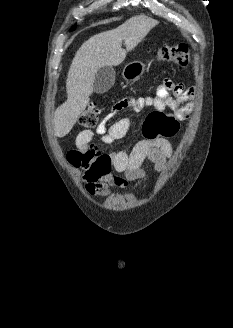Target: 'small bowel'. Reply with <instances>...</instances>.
<instances>
[{
	"label": "small bowel",
	"instance_id": "1",
	"mask_svg": "<svg viewBox=\"0 0 233 328\" xmlns=\"http://www.w3.org/2000/svg\"><path fill=\"white\" fill-rule=\"evenodd\" d=\"M194 95V88H186L181 83H174L171 79H166L157 88L155 96H127L115 103L111 113L98 126L96 134L107 144L123 138L130 127L128 117L117 120L109 127L107 124L115 115L129 108L136 112L142 111L146 107H152L158 111L170 109L178 119L186 120L193 107L191 100ZM93 137L92 131H81L77 136V145L79 147L87 145ZM171 153L172 145L165 138L154 141L141 140L131 148L114 152L111 155L114 172L105 176L100 184L88 188V192L91 195L106 197L110 187L124 188L130 181L143 180L145 173L141 166L145 161L152 162L156 171L159 172L163 169Z\"/></svg>",
	"mask_w": 233,
	"mask_h": 328
}]
</instances>
